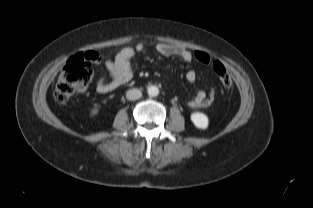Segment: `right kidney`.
<instances>
[{"mask_svg":"<svg viewBox=\"0 0 313 208\" xmlns=\"http://www.w3.org/2000/svg\"><path fill=\"white\" fill-rule=\"evenodd\" d=\"M96 113H97V110H96V109L92 111V114H96Z\"/></svg>","mask_w":313,"mask_h":208,"instance_id":"ca27d5eb","label":"right kidney"}]
</instances>
